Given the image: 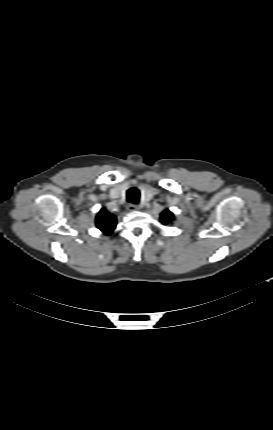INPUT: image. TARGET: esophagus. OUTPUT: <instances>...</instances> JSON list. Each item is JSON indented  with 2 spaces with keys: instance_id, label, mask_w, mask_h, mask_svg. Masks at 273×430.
<instances>
[{
  "instance_id": "obj_1",
  "label": "esophagus",
  "mask_w": 273,
  "mask_h": 430,
  "mask_svg": "<svg viewBox=\"0 0 273 430\" xmlns=\"http://www.w3.org/2000/svg\"><path fill=\"white\" fill-rule=\"evenodd\" d=\"M139 209V206L138 205H135V204H129L128 206H127V210L129 211V212H134V211H137Z\"/></svg>"
}]
</instances>
